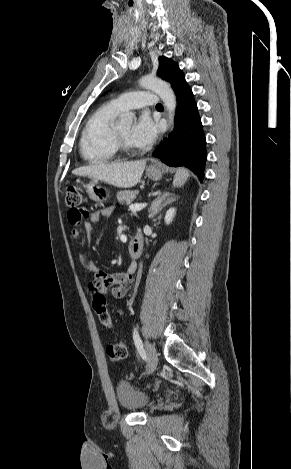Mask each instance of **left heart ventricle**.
<instances>
[{
    "mask_svg": "<svg viewBox=\"0 0 291 469\" xmlns=\"http://www.w3.org/2000/svg\"><path fill=\"white\" fill-rule=\"evenodd\" d=\"M117 131H118V133L120 134V136H121L128 144H130L131 146H134V145L130 142L131 128H130L129 126H126V127H118V128H117Z\"/></svg>",
    "mask_w": 291,
    "mask_h": 469,
    "instance_id": "obj_1",
    "label": "left heart ventricle"
}]
</instances>
